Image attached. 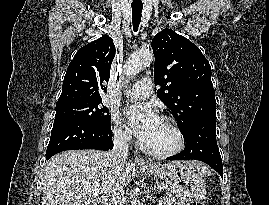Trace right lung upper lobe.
<instances>
[{
	"instance_id": "obj_1",
	"label": "right lung upper lobe",
	"mask_w": 269,
	"mask_h": 205,
	"mask_svg": "<svg viewBox=\"0 0 269 205\" xmlns=\"http://www.w3.org/2000/svg\"><path fill=\"white\" fill-rule=\"evenodd\" d=\"M114 55L115 46L108 35L79 49L67 68L56 107L101 100Z\"/></svg>"
}]
</instances>
